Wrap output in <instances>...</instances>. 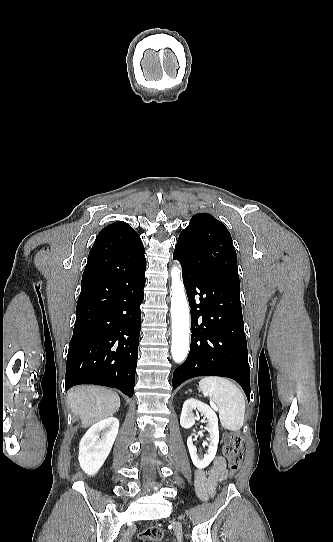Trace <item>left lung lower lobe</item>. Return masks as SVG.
Here are the masks:
<instances>
[{
    "instance_id": "0a47b994",
    "label": "left lung lower lobe",
    "mask_w": 333,
    "mask_h": 542,
    "mask_svg": "<svg viewBox=\"0 0 333 542\" xmlns=\"http://www.w3.org/2000/svg\"><path fill=\"white\" fill-rule=\"evenodd\" d=\"M173 258L182 265L191 308L192 333L189 355L174 371L173 389L193 377L222 376L237 381L250 400V369L240 284L188 265L176 250ZM197 295L199 299H196Z\"/></svg>"
}]
</instances>
